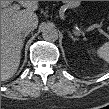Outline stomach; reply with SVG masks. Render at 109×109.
<instances>
[{"label":"stomach","instance_id":"1","mask_svg":"<svg viewBox=\"0 0 109 109\" xmlns=\"http://www.w3.org/2000/svg\"><path fill=\"white\" fill-rule=\"evenodd\" d=\"M64 3L66 7L72 10H76L81 5V1H64Z\"/></svg>","mask_w":109,"mask_h":109}]
</instances>
